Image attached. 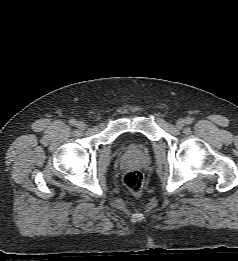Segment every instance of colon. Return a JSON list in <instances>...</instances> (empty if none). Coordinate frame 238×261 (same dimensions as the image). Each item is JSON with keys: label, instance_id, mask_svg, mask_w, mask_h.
Here are the masks:
<instances>
[{"label": "colon", "instance_id": "1", "mask_svg": "<svg viewBox=\"0 0 238 261\" xmlns=\"http://www.w3.org/2000/svg\"><path fill=\"white\" fill-rule=\"evenodd\" d=\"M125 187L134 195L140 196L144 186V176L138 170H130L123 177Z\"/></svg>", "mask_w": 238, "mask_h": 261}]
</instances>
